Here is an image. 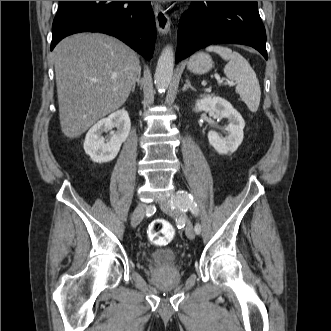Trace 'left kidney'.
<instances>
[{"mask_svg": "<svg viewBox=\"0 0 331 331\" xmlns=\"http://www.w3.org/2000/svg\"><path fill=\"white\" fill-rule=\"evenodd\" d=\"M194 110L196 112L205 111L215 113L220 118H227L229 121L226 130L228 136L220 137L215 131L208 132V140L210 145L219 154H229L237 150L243 141V129L245 121L240 113L233 108L230 102L219 96H208L195 103Z\"/></svg>", "mask_w": 331, "mask_h": 331, "instance_id": "5707ae66", "label": "left kidney"}]
</instances>
